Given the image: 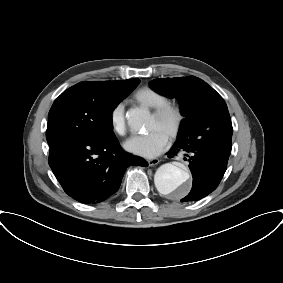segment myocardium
I'll use <instances>...</instances> for the list:
<instances>
[{
    "mask_svg": "<svg viewBox=\"0 0 283 283\" xmlns=\"http://www.w3.org/2000/svg\"><path fill=\"white\" fill-rule=\"evenodd\" d=\"M152 116L159 119L169 116L172 117V127L167 135L170 139H174L178 136L185 121V115L180 105L171 101H167L166 103L154 108Z\"/></svg>",
    "mask_w": 283,
    "mask_h": 283,
    "instance_id": "f54148a6",
    "label": "myocardium"
}]
</instances>
